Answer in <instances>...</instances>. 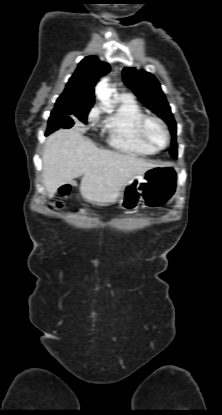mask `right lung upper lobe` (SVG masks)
Returning a JSON list of instances; mask_svg holds the SVG:
<instances>
[{"label":"right lung upper lobe","instance_id":"right-lung-upper-lobe-1","mask_svg":"<svg viewBox=\"0 0 222 415\" xmlns=\"http://www.w3.org/2000/svg\"><path fill=\"white\" fill-rule=\"evenodd\" d=\"M110 71L109 64L96 56L84 58L69 79L54 109L65 106L93 105L94 87L98 79Z\"/></svg>","mask_w":222,"mask_h":415}]
</instances>
